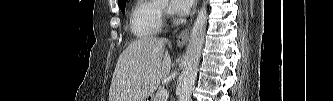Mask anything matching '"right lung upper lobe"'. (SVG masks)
I'll return each mask as SVG.
<instances>
[{
  "label": "right lung upper lobe",
  "instance_id": "right-lung-upper-lobe-1",
  "mask_svg": "<svg viewBox=\"0 0 333 101\" xmlns=\"http://www.w3.org/2000/svg\"><path fill=\"white\" fill-rule=\"evenodd\" d=\"M126 0H118V4L124 3Z\"/></svg>",
  "mask_w": 333,
  "mask_h": 101
}]
</instances>
